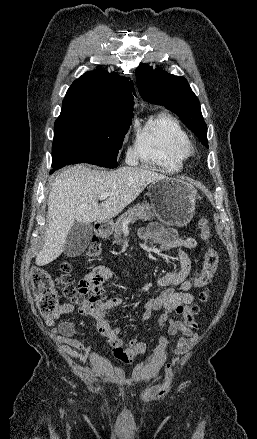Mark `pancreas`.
<instances>
[{
	"instance_id": "pancreas-1",
	"label": "pancreas",
	"mask_w": 257,
	"mask_h": 439,
	"mask_svg": "<svg viewBox=\"0 0 257 439\" xmlns=\"http://www.w3.org/2000/svg\"><path fill=\"white\" fill-rule=\"evenodd\" d=\"M156 212L148 203L138 204L129 208L124 214H122L115 223L114 230V243L121 241L122 232L124 230V222L130 220L135 222L136 220L148 221L155 217Z\"/></svg>"
}]
</instances>
